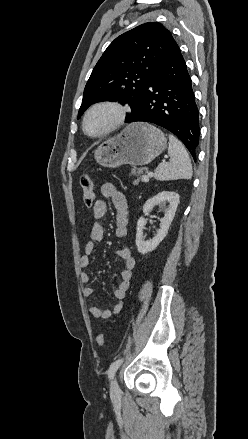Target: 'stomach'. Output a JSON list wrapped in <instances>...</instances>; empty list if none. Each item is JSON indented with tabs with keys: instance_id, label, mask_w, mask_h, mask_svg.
I'll return each instance as SVG.
<instances>
[{
	"instance_id": "stomach-1",
	"label": "stomach",
	"mask_w": 248,
	"mask_h": 439,
	"mask_svg": "<svg viewBox=\"0 0 248 439\" xmlns=\"http://www.w3.org/2000/svg\"><path fill=\"white\" fill-rule=\"evenodd\" d=\"M164 133L149 123L128 125L119 135L110 138L95 150L98 164L117 168L124 164L143 166L149 164L166 148Z\"/></svg>"
}]
</instances>
